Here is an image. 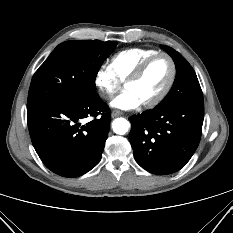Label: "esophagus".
<instances>
[{
	"mask_svg": "<svg viewBox=\"0 0 233 233\" xmlns=\"http://www.w3.org/2000/svg\"><path fill=\"white\" fill-rule=\"evenodd\" d=\"M123 113L119 110H113L111 113L112 118H116L118 116H121Z\"/></svg>",
	"mask_w": 233,
	"mask_h": 233,
	"instance_id": "obj_1",
	"label": "esophagus"
}]
</instances>
